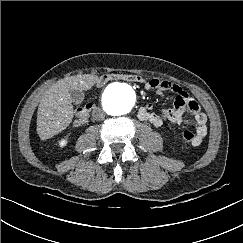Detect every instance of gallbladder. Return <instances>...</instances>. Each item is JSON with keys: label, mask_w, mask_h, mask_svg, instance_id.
Segmentation results:
<instances>
[{"label": "gallbladder", "mask_w": 243, "mask_h": 243, "mask_svg": "<svg viewBox=\"0 0 243 243\" xmlns=\"http://www.w3.org/2000/svg\"><path fill=\"white\" fill-rule=\"evenodd\" d=\"M71 94V102L74 104H79L84 99V94L82 91L74 90L70 92Z\"/></svg>", "instance_id": "1"}]
</instances>
